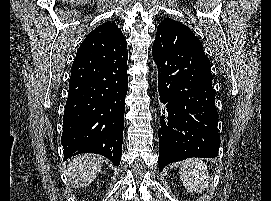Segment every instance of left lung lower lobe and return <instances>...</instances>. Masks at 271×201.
Returning <instances> with one entry per match:
<instances>
[{
    "label": "left lung lower lobe",
    "instance_id": "0a47b994",
    "mask_svg": "<svg viewBox=\"0 0 271 201\" xmlns=\"http://www.w3.org/2000/svg\"><path fill=\"white\" fill-rule=\"evenodd\" d=\"M158 90L165 105L159 136V170L186 158L218 155L215 90L196 36L180 27L172 39L153 44Z\"/></svg>",
    "mask_w": 271,
    "mask_h": 201
}]
</instances>
